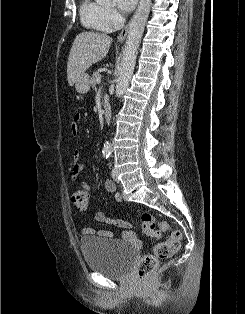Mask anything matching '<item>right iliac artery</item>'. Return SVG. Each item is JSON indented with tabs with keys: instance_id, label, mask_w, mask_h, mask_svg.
<instances>
[{
	"instance_id": "82829eb1",
	"label": "right iliac artery",
	"mask_w": 245,
	"mask_h": 314,
	"mask_svg": "<svg viewBox=\"0 0 245 314\" xmlns=\"http://www.w3.org/2000/svg\"><path fill=\"white\" fill-rule=\"evenodd\" d=\"M103 157L107 159V158L109 157V154L104 153V154H103Z\"/></svg>"
}]
</instances>
